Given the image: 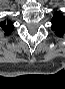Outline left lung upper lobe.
<instances>
[{
  "label": "left lung upper lobe",
  "mask_w": 65,
  "mask_h": 89,
  "mask_svg": "<svg viewBox=\"0 0 65 89\" xmlns=\"http://www.w3.org/2000/svg\"><path fill=\"white\" fill-rule=\"evenodd\" d=\"M51 28L59 37H62L65 33V17L60 12L54 13Z\"/></svg>",
  "instance_id": "1"
}]
</instances>
